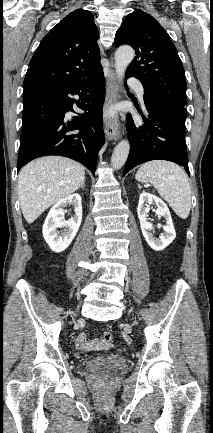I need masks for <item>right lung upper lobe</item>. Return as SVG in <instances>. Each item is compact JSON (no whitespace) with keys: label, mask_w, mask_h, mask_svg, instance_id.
Listing matches in <instances>:
<instances>
[{"label":"right lung upper lobe","mask_w":213,"mask_h":433,"mask_svg":"<svg viewBox=\"0 0 213 433\" xmlns=\"http://www.w3.org/2000/svg\"><path fill=\"white\" fill-rule=\"evenodd\" d=\"M98 29L90 11L78 9L62 19L41 41L23 88L62 89L102 70Z\"/></svg>","instance_id":"1"}]
</instances>
